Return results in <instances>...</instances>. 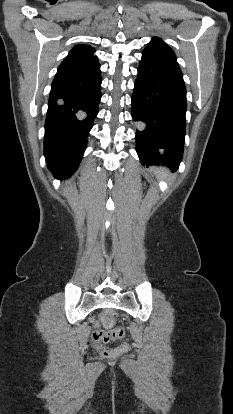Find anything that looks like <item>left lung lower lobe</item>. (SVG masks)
Returning <instances> with one entry per match:
<instances>
[{"instance_id": "1", "label": "left lung lower lobe", "mask_w": 233, "mask_h": 414, "mask_svg": "<svg viewBox=\"0 0 233 414\" xmlns=\"http://www.w3.org/2000/svg\"><path fill=\"white\" fill-rule=\"evenodd\" d=\"M186 88L176 61L144 51L132 95L138 122L136 151L142 165L177 168L186 133Z\"/></svg>"}]
</instances>
